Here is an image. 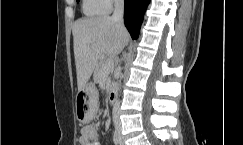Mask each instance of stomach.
I'll list each match as a JSON object with an SVG mask.
<instances>
[{"mask_svg": "<svg viewBox=\"0 0 243 145\" xmlns=\"http://www.w3.org/2000/svg\"><path fill=\"white\" fill-rule=\"evenodd\" d=\"M93 88L85 86L76 96V117L80 122H89L98 103V94H92Z\"/></svg>", "mask_w": 243, "mask_h": 145, "instance_id": "stomach-1", "label": "stomach"}]
</instances>
